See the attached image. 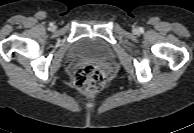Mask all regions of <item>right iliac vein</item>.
Returning <instances> with one entry per match:
<instances>
[{
  "mask_svg": "<svg viewBox=\"0 0 194 133\" xmlns=\"http://www.w3.org/2000/svg\"><path fill=\"white\" fill-rule=\"evenodd\" d=\"M51 29L54 30L55 29V26H52Z\"/></svg>",
  "mask_w": 194,
  "mask_h": 133,
  "instance_id": "obj_1",
  "label": "right iliac vein"
}]
</instances>
